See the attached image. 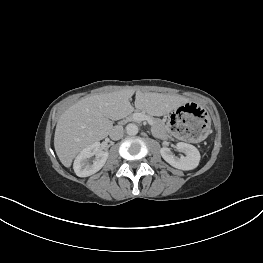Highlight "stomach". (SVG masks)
I'll return each mask as SVG.
<instances>
[{
  "label": "stomach",
  "mask_w": 263,
  "mask_h": 263,
  "mask_svg": "<svg viewBox=\"0 0 263 263\" xmlns=\"http://www.w3.org/2000/svg\"><path fill=\"white\" fill-rule=\"evenodd\" d=\"M169 127L176 138L189 145L204 142L211 131L207 112L194 103H187L176 109L170 117Z\"/></svg>",
  "instance_id": "0dacf381"
}]
</instances>
